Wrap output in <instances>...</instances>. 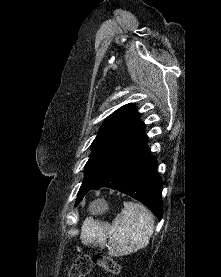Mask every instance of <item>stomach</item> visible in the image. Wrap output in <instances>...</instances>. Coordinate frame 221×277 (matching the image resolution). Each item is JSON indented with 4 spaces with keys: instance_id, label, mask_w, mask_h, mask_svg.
<instances>
[{
    "instance_id": "obj_1",
    "label": "stomach",
    "mask_w": 221,
    "mask_h": 277,
    "mask_svg": "<svg viewBox=\"0 0 221 277\" xmlns=\"http://www.w3.org/2000/svg\"><path fill=\"white\" fill-rule=\"evenodd\" d=\"M105 208H106V205H105L104 202H96V203L93 205V208H92V209H96L97 211L102 212Z\"/></svg>"
}]
</instances>
